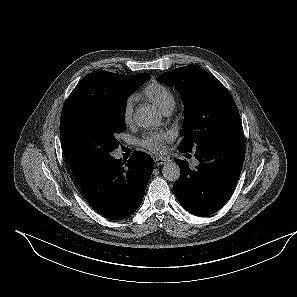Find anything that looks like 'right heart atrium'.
Masks as SVG:
<instances>
[{"label":"right heart atrium","instance_id":"d8ad5b80","mask_svg":"<svg viewBox=\"0 0 297 297\" xmlns=\"http://www.w3.org/2000/svg\"><path fill=\"white\" fill-rule=\"evenodd\" d=\"M134 103L135 98L133 96H130L127 98L123 105L122 117L125 125H129L132 122Z\"/></svg>","mask_w":297,"mask_h":297}]
</instances>
